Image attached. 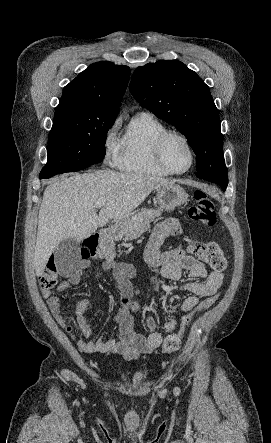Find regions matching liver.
Instances as JSON below:
<instances>
[{
    "mask_svg": "<svg viewBox=\"0 0 271 443\" xmlns=\"http://www.w3.org/2000/svg\"><path fill=\"white\" fill-rule=\"evenodd\" d=\"M66 176L49 184L43 194L33 255L36 275H42L52 251L63 239L74 237L78 243L112 218L123 222L153 190L173 184L164 178L112 170ZM100 200L106 204L97 216L94 204Z\"/></svg>",
    "mask_w": 271,
    "mask_h": 443,
    "instance_id": "1",
    "label": "liver"
}]
</instances>
